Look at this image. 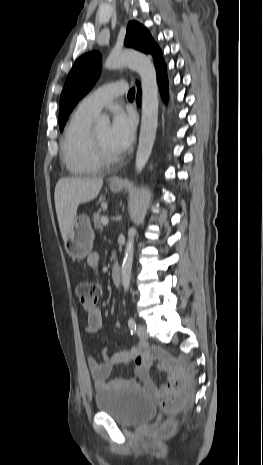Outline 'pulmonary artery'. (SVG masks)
I'll list each match as a JSON object with an SVG mask.
<instances>
[{"instance_id": "e3ab8cb5", "label": "pulmonary artery", "mask_w": 263, "mask_h": 465, "mask_svg": "<svg viewBox=\"0 0 263 465\" xmlns=\"http://www.w3.org/2000/svg\"><path fill=\"white\" fill-rule=\"evenodd\" d=\"M127 91V84L124 81H117L105 84L97 90L88 94L78 105V110L82 113L95 116L102 108L111 103L113 99Z\"/></svg>"}]
</instances>
